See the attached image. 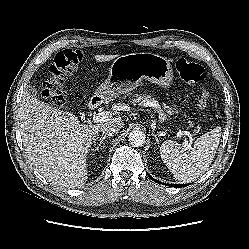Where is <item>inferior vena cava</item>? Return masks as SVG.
<instances>
[{
  "mask_svg": "<svg viewBox=\"0 0 249 249\" xmlns=\"http://www.w3.org/2000/svg\"><path fill=\"white\" fill-rule=\"evenodd\" d=\"M101 131L107 135H113L120 131V127L116 124H105L102 126Z\"/></svg>",
  "mask_w": 249,
  "mask_h": 249,
  "instance_id": "inferior-vena-cava-1",
  "label": "inferior vena cava"
}]
</instances>
